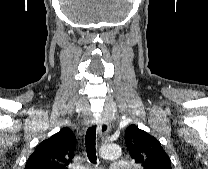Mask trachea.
Masks as SVG:
<instances>
[{"label": "trachea", "mask_w": 208, "mask_h": 169, "mask_svg": "<svg viewBox=\"0 0 208 169\" xmlns=\"http://www.w3.org/2000/svg\"><path fill=\"white\" fill-rule=\"evenodd\" d=\"M85 143L88 159L91 163H96V126L87 129Z\"/></svg>", "instance_id": "3493384b"}]
</instances>
